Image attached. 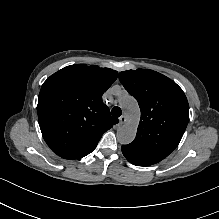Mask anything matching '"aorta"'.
Segmentation results:
<instances>
[{
	"instance_id": "obj_1",
	"label": "aorta",
	"mask_w": 219,
	"mask_h": 219,
	"mask_svg": "<svg viewBox=\"0 0 219 219\" xmlns=\"http://www.w3.org/2000/svg\"><path fill=\"white\" fill-rule=\"evenodd\" d=\"M120 106L128 120L117 130V140L121 144H129L135 139L137 133L140 109L137 101L130 95L120 98Z\"/></svg>"
}]
</instances>
